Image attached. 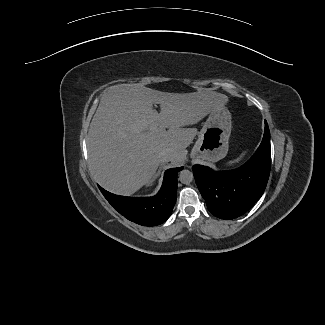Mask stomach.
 Segmentation results:
<instances>
[{"mask_svg": "<svg viewBox=\"0 0 325 325\" xmlns=\"http://www.w3.org/2000/svg\"><path fill=\"white\" fill-rule=\"evenodd\" d=\"M230 134L229 110L225 106L211 110L192 149L191 157L205 163H214L224 158L228 152Z\"/></svg>", "mask_w": 325, "mask_h": 325, "instance_id": "stomach-1", "label": "stomach"}]
</instances>
